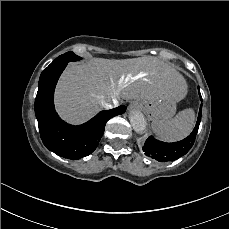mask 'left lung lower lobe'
I'll use <instances>...</instances> for the list:
<instances>
[{
    "label": "left lung lower lobe",
    "instance_id": "1",
    "mask_svg": "<svg viewBox=\"0 0 229 229\" xmlns=\"http://www.w3.org/2000/svg\"><path fill=\"white\" fill-rule=\"evenodd\" d=\"M198 92H199L200 99L202 101L199 87H198ZM201 109H202V104L200 106V111L198 114V119L195 128L193 129L192 133L188 137L178 142L165 143V142L158 141L154 137L150 136L146 140L142 148L145 155L154 158L160 162L174 161L182 157L183 155H185L195 142L199 124L201 121Z\"/></svg>",
    "mask_w": 229,
    "mask_h": 229
}]
</instances>
